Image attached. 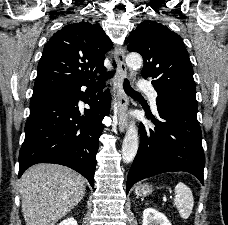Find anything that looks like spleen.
Listing matches in <instances>:
<instances>
[{"mask_svg":"<svg viewBox=\"0 0 228 225\" xmlns=\"http://www.w3.org/2000/svg\"><path fill=\"white\" fill-rule=\"evenodd\" d=\"M174 193V205L177 207L181 219H188L194 207V197L191 189L187 185H184V183H178L174 189Z\"/></svg>","mask_w":228,"mask_h":225,"instance_id":"3e777b00","label":"spleen"}]
</instances>
